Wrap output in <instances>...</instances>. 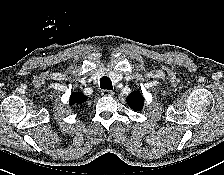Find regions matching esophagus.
I'll list each match as a JSON object with an SVG mask.
<instances>
[{
	"mask_svg": "<svg viewBox=\"0 0 224 175\" xmlns=\"http://www.w3.org/2000/svg\"><path fill=\"white\" fill-rule=\"evenodd\" d=\"M101 94H102V96L107 97V96H113L114 92L112 90L104 89V90L101 91Z\"/></svg>",
	"mask_w": 224,
	"mask_h": 175,
	"instance_id": "1",
	"label": "esophagus"
}]
</instances>
